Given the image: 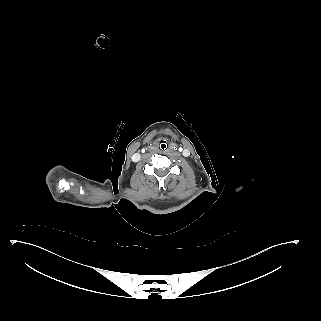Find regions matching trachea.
Instances as JSON below:
<instances>
[{
	"mask_svg": "<svg viewBox=\"0 0 321 321\" xmlns=\"http://www.w3.org/2000/svg\"><path fill=\"white\" fill-rule=\"evenodd\" d=\"M159 150H160L161 152H166V151L168 150V145H167L166 143H161V144L159 145Z\"/></svg>",
	"mask_w": 321,
	"mask_h": 321,
	"instance_id": "3493384b",
	"label": "trachea"
}]
</instances>
